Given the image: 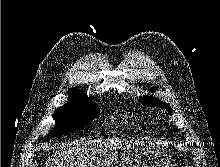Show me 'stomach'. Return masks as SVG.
<instances>
[{
  "instance_id": "1",
  "label": "stomach",
  "mask_w": 220,
  "mask_h": 167,
  "mask_svg": "<svg viewBox=\"0 0 220 167\" xmlns=\"http://www.w3.org/2000/svg\"><path fill=\"white\" fill-rule=\"evenodd\" d=\"M112 167H170L162 148L153 142L124 145Z\"/></svg>"
}]
</instances>
